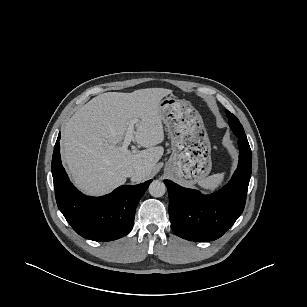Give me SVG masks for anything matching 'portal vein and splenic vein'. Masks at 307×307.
I'll return each mask as SVG.
<instances>
[{
	"label": "portal vein and splenic vein",
	"mask_w": 307,
	"mask_h": 307,
	"mask_svg": "<svg viewBox=\"0 0 307 307\" xmlns=\"http://www.w3.org/2000/svg\"><path fill=\"white\" fill-rule=\"evenodd\" d=\"M138 120H134L128 127L124 141L122 143V147L121 149L123 151H129L128 150V146L130 145L131 140L133 139V135H134V124L137 123Z\"/></svg>",
	"instance_id": "portal-vein-and-splenic-vein-1"
}]
</instances>
